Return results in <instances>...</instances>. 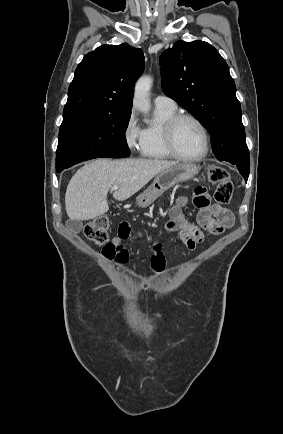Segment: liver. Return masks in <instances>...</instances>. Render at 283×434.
<instances>
[{"mask_svg":"<svg viewBox=\"0 0 283 434\" xmlns=\"http://www.w3.org/2000/svg\"><path fill=\"white\" fill-rule=\"evenodd\" d=\"M177 164L175 161L152 159H96L71 178L65 207L70 220H91L109 210V188L118 186L113 197L125 201L142 189L161 171Z\"/></svg>","mask_w":283,"mask_h":434,"instance_id":"obj_1","label":"liver"}]
</instances>
